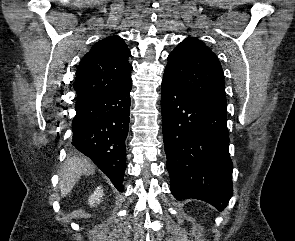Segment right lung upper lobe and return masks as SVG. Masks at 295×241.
<instances>
[{
	"instance_id": "1",
	"label": "right lung upper lobe",
	"mask_w": 295,
	"mask_h": 241,
	"mask_svg": "<svg viewBox=\"0 0 295 241\" xmlns=\"http://www.w3.org/2000/svg\"><path fill=\"white\" fill-rule=\"evenodd\" d=\"M130 50L118 36L97 42L83 57L76 71L77 100L122 87L131 82Z\"/></svg>"
}]
</instances>
